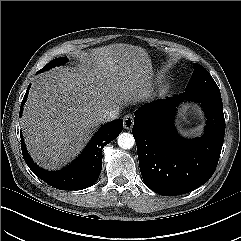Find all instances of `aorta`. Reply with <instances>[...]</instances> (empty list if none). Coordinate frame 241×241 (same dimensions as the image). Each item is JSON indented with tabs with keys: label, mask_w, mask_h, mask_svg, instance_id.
<instances>
[{
	"label": "aorta",
	"mask_w": 241,
	"mask_h": 241,
	"mask_svg": "<svg viewBox=\"0 0 241 241\" xmlns=\"http://www.w3.org/2000/svg\"><path fill=\"white\" fill-rule=\"evenodd\" d=\"M118 145L122 149H131L135 144V139L130 133H121L117 139Z\"/></svg>",
	"instance_id": "762f6f07"
}]
</instances>
